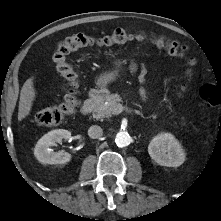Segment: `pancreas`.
I'll return each mask as SVG.
<instances>
[{
  "instance_id": "1",
  "label": "pancreas",
  "mask_w": 221,
  "mask_h": 221,
  "mask_svg": "<svg viewBox=\"0 0 221 221\" xmlns=\"http://www.w3.org/2000/svg\"><path fill=\"white\" fill-rule=\"evenodd\" d=\"M122 101L118 93L106 94L97 100L93 109V117L95 119L108 118L114 114V107Z\"/></svg>"
}]
</instances>
